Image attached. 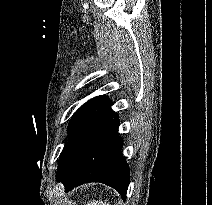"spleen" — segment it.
<instances>
[{"label":"spleen","mask_w":212,"mask_h":205,"mask_svg":"<svg viewBox=\"0 0 212 205\" xmlns=\"http://www.w3.org/2000/svg\"><path fill=\"white\" fill-rule=\"evenodd\" d=\"M86 205H110L109 203L107 202H103L102 200H99V201H89Z\"/></svg>","instance_id":"obj_1"}]
</instances>
